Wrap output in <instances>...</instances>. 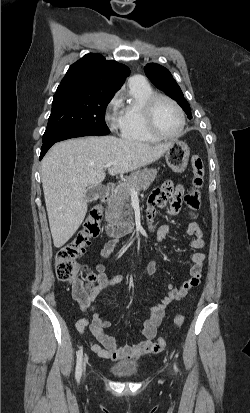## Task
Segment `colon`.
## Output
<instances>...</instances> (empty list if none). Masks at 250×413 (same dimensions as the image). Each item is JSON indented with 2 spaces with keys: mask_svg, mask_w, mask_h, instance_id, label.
<instances>
[{
  "mask_svg": "<svg viewBox=\"0 0 250 413\" xmlns=\"http://www.w3.org/2000/svg\"><path fill=\"white\" fill-rule=\"evenodd\" d=\"M191 163L193 168L191 188L184 196V201L188 209L193 211L200 206L201 188L204 183L205 170L203 160L200 156L194 155ZM101 218V207H93L73 239L60 248L56 254L55 269L58 278L62 281L73 283V294L82 305L87 302L89 297L88 292L93 289L95 275L89 272L86 273L84 267L80 265L77 260L85 252L90 241L99 235ZM183 323L184 316L178 314L174 319V326L180 328ZM155 345L157 349L162 350L167 345V340L159 337Z\"/></svg>",
  "mask_w": 250,
  "mask_h": 413,
  "instance_id": "5ec220e1",
  "label": "colon"
}]
</instances>
